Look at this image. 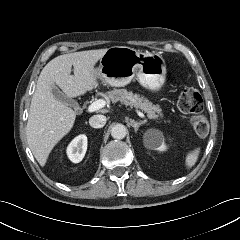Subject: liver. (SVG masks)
Listing matches in <instances>:
<instances>
[{
  "mask_svg": "<svg viewBox=\"0 0 240 240\" xmlns=\"http://www.w3.org/2000/svg\"><path fill=\"white\" fill-rule=\"evenodd\" d=\"M107 49L80 51L52 59L41 71L33 94L26 126L28 146L45 166L54 146L72 129L76 113L57 100V85L69 98L84 95L98 86L94 65ZM72 66L74 75H71Z\"/></svg>",
  "mask_w": 240,
  "mask_h": 240,
  "instance_id": "1",
  "label": "liver"
}]
</instances>
